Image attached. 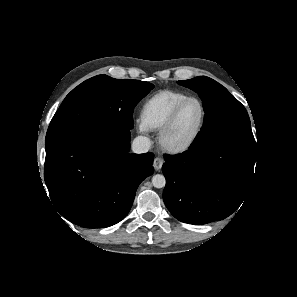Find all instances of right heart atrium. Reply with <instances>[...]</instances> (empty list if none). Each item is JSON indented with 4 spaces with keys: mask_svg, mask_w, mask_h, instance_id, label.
I'll use <instances>...</instances> for the list:
<instances>
[{
    "mask_svg": "<svg viewBox=\"0 0 297 297\" xmlns=\"http://www.w3.org/2000/svg\"><path fill=\"white\" fill-rule=\"evenodd\" d=\"M138 128H139V130H140L141 132L146 131V128H145L141 123H139Z\"/></svg>",
    "mask_w": 297,
    "mask_h": 297,
    "instance_id": "d8ad5b80",
    "label": "right heart atrium"
}]
</instances>
